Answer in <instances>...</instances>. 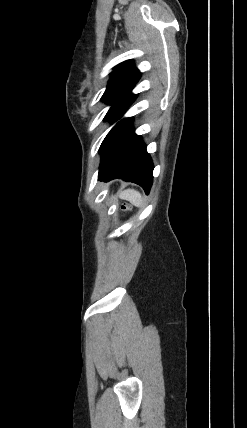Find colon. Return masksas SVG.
I'll use <instances>...</instances> for the list:
<instances>
[{
    "instance_id": "1",
    "label": "colon",
    "mask_w": 247,
    "mask_h": 428,
    "mask_svg": "<svg viewBox=\"0 0 247 428\" xmlns=\"http://www.w3.org/2000/svg\"><path fill=\"white\" fill-rule=\"evenodd\" d=\"M123 208H124V209H127V207H126V206H124Z\"/></svg>"
}]
</instances>
